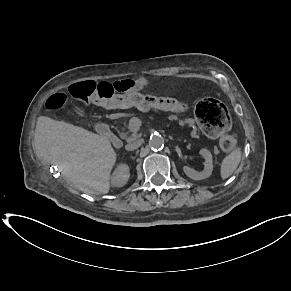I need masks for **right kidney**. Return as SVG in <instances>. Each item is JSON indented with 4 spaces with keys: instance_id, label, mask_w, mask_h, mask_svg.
I'll use <instances>...</instances> for the list:
<instances>
[{
    "instance_id": "1",
    "label": "right kidney",
    "mask_w": 291,
    "mask_h": 291,
    "mask_svg": "<svg viewBox=\"0 0 291 291\" xmlns=\"http://www.w3.org/2000/svg\"><path fill=\"white\" fill-rule=\"evenodd\" d=\"M130 176L129 167L127 164H119L115 169L111 178L112 185L117 187L124 186Z\"/></svg>"
}]
</instances>
